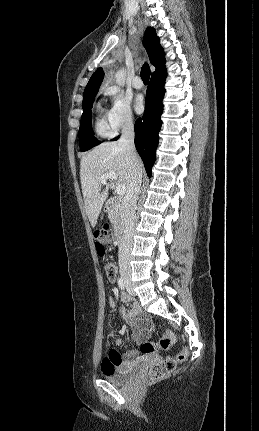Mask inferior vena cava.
<instances>
[{
    "mask_svg": "<svg viewBox=\"0 0 259 431\" xmlns=\"http://www.w3.org/2000/svg\"><path fill=\"white\" fill-rule=\"evenodd\" d=\"M119 146L124 151L125 161L131 175L130 185L123 203V234L118 254L119 264L128 265L136 224L135 207L142 184V171L139 166L140 159L134 145V124L132 118H128L123 125Z\"/></svg>",
    "mask_w": 259,
    "mask_h": 431,
    "instance_id": "obj_1",
    "label": "inferior vena cava"
}]
</instances>
